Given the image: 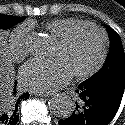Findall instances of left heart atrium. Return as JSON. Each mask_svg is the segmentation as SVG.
Returning a JSON list of instances; mask_svg holds the SVG:
<instances>
[{"instance_id": "left-heart-atrium-1", "label": "left heart atrium", "mask_w": 125, "mask_h": 125, "mask_svg": "<svg viewBox=\"0 0 125 125\" xmlns=\"http://www.w3.org/2000/svg\"><path fill=\"white\" fill-rule=\"evenodd\" d=\"M73 76L64 60L56 57L51 60L33 59L20 70V82L35 93H49L67 84Z\"/></svg>"}]
</instances>
